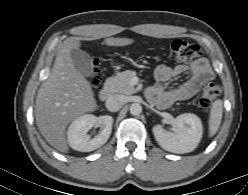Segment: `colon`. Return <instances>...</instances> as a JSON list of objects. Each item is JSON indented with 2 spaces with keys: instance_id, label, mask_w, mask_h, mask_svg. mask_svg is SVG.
Masks as SVG:
<instances>
[{
  "instance_id": "colon-1",
  "label": "colon",
  "mask_w": 248,
  "mask_h": 195,
  "mask_svg": "<svg viewBox=\"0 0 248 195\" xmlns=\"http://www.w3.org/2000/svg\"><path fill=\"white\" fill-rule=\"evenodd\" d=\"M170 51L178 63H189L202 56L203 51L199 44L188 42L182 39L174 40L170 45ZM100 82L98 70L93 69L90 83L92 86H98ZM220 94V87L214 83H205L201 88L199 105L202 110L207 111L214 100Z\"/></svg>"
}]
</instances>
